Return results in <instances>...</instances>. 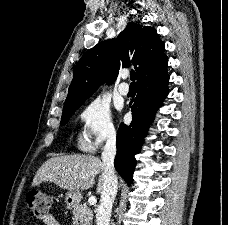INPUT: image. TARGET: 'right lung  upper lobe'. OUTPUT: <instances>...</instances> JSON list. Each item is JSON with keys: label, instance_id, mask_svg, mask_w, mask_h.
I'll use <instances>...</instances> for the list:
<instances>
[{"label": "right lung upper lobe", "instance_id": "cb5924a9", "mask_svg": "<svg viewBox=\"0 0 228 225\" xmlns=\"http://www.w3.org/2000/svg\"><path fill=\"white\" fill-rule=\"evenodd\" d=\"M164 44L153 27L128 22L118 38L89 49L78 61L64 107L84 102L105 82L112 84L121 67L134 65L137 77L164 55Z\"/></svg>", "mask_w": 228, "mask_h": 225}]
</instances>
